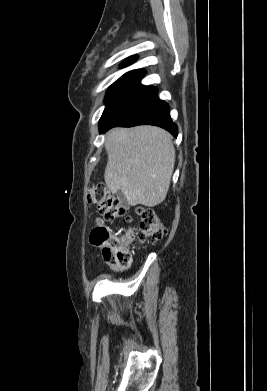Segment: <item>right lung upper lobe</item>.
<instances>
[{
    "mask_svg": "<svg viewBox=\"0 0 267 391\" xmlns=\"http://www.w3.org/2000/svg\"><path fill=\"white\" fill-rule=\"evenodd\" d=\"M136 58H137V57H135V56L128 58V59L123 63V66H126V65H129V64L133 63V62L136 60ZM144 75H145V70H144V69H137V70H133V71L127 72V73L124 74L123 76H137V77H143Z\"/></svg>",
    "mask_w": 267,
    "mask_h": 391,
    "instance_id": "obj_1",
    "label": "right lung upper lobe"
}]
</instances>
